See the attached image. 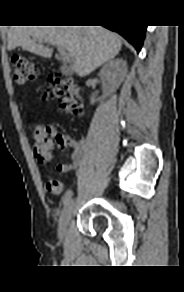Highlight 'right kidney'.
Here are the masks:
<instances>
[{
	"label": "right kidney",
	"mask_w": 184,
	"mask_h": 292,
	"mask_svg": "<svg viewBox=\"0 0 184 292\" xmlns=\"http://www.w3.org/2000/svg\"><path fill=\"white\" fill-rule=\"evenodd\" d=\"M128 71L127 62L122 58H114L108 61L100 70L103 98L114 93L123 82Z\"/></svg>",
	"instance_id": "right-kidney-1"
}]
</instances>
